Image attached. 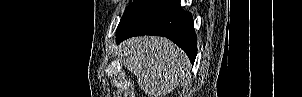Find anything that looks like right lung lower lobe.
Returning a JSON list of instances; mask_svg holds the SVG:
<instances>
[{
  "mask_svg": "<svg viewBox=\"0 0 302 97\" xmlns=\"http://www.w3.org/2000/svg\"><path fill=\"white\" fill-rule=\"evenodd\" d=\"M142 35L164 36L188 55L193 64L197 55V37L190 12L183 11L179 0H146L117 30L116 41Z\"/></svg>",
  "mask_w": 302,
  "mask_h": 97,
  "instance_id": "98d812e1",
  "label": "right lung lower lobe"
}]
</instances>
